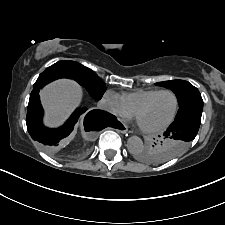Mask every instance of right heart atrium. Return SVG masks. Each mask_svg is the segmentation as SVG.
<instances>
[{"label": "right heart atrium", "instance_id": "1", "mask_svg": "<svg viewBox=\"0 0 225 225\" xmlns=\"http://www.w3.org/2000/svg\"><path fill=\"white\" fill-rule=\"evenodd\" d=\"M103 98L109 112L121 117L132 116V113L125 106L121 96L116 92L109 90L105 92Z\"/></svg>", "mask_w": 225, "mask_h": 225}]
</instances>
